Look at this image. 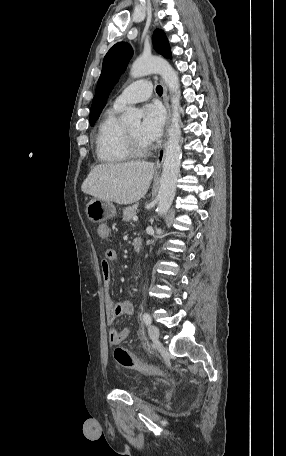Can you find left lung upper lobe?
I'll return each mask as SVG.
<instances>
[{
    "label": "left lung upper lobe",
    "mask_w": 286,
    "mask_h": 456,
    "mask_svg": "<svg viewBox=\"0 0 286 456\" xmlns=\"http://www.w3.org/2000/svg\"><path fill=\"white\" fill-rule=\"evenodd\" d=\"M153 47L161 55L171 58V50L163 30L156 29L153 34ZM133 55L131 46L125 42L115 44L105 55L90 111V125L93 126L106 105L107 98L119 76L125 70Z\"/></svg>",
    "instance_id": "5c2ea615"
}]
</instances>
